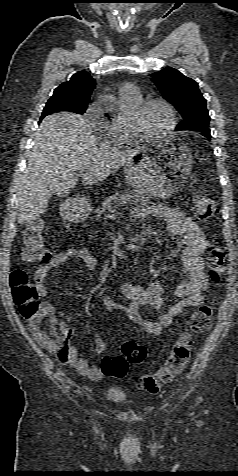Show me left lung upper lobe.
Listing matches in <instances>:
<instances>
[{"instance_id":"left-lung-upper-lobe-1","label":"left lung upper lobe","mask_w":238,"mask_h":476,"mask_svg":"<svg viewBox=\"0 0 238 476\" xmlns=\"http://www.w3.org/2000/svg\"><path fill=\"white\" fill-rule=\"evenodd\" d=\"M162 97L182 115L183 120L175 130H209V114L206 100L198 83L184 76L177 69L166 67L150 75Z\"/></svg>"}]
</instances>
